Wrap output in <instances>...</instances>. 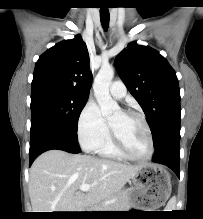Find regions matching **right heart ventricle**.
<instances>
[{"instance_id":"right-heart-ventricle-1","label":"right heart ventricle","mask_w":203,"mask_h":219,"mask_svg":"<svg viewBox=\"0 0 203 219\" xmlns=\"http://www.w3.org/2000/svg\"><path fill=\"white\" fill-rule=\"evenodd\" d=\"M98 154L103 157L113 158V159H123L124 156L117 150L115 147L111 133L109 132L104 139V141L100 144L98 149L96 150Z\"/></svg>"}]
</instances>
